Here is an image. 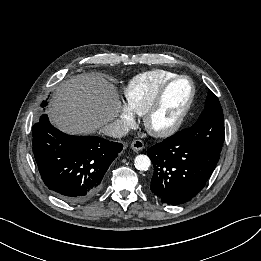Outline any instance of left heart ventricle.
Instances as JSON below:
<instances>
[{
  "label": "left heart ventricle",
  "instance_id": "1",
  "mask_svg": "<svg viewBox=\"0 0 261 261\" xmlns=\"http://www.w3.org/2000/svg\"><path fill=\"white\" fill-rule=\"evenodd\" d=\"M190 94V82L187 79L177 81L168 91L160 110L153 118L152 125L157 129L172 125L185 108Z\"/></svg>",
  "mask_w": 261,
  "mask_h": 261
}]
</instances>
